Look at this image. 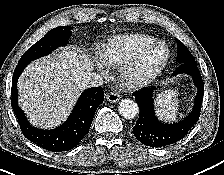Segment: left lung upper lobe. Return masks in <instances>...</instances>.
<instances>
[{
	"mask_svg": "<svg viewBox=\"0 0 224 175\" xmlns=\"http://www.w3.org/2000/svg\"><path fill=\"white\" fill-rule=\"evenodd\" d=\"M177 47H178L177 61L179 64L184 63L196 64L195 59L193 58L188 48L179 40H177Z\"/></svg>",
	"mask_w": 224,
	"mask_h": 175,
	"instance_id": "1",
	"label": "left lung upper lobe"
}]
</instances>
